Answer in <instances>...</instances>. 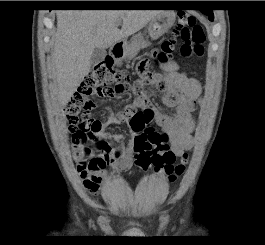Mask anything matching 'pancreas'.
Returning <instances> with one entry per match:
<instances>
[{
	"mask_svg": "<svg viewBox=\"0 0 265 245\" xmlns=\"http://www.w3.org/2000/svg\"><path fill=\"white\" fill-rule=\"evenodd\" d=\"M147 45H148V44H144L142 47H145V46H147ZM142 47H140V46L137 45V44L131 45V46L129 47V49H128L127 56H128L129 58H133V57L137 54V52L139 51V49L142 48Z\"/></svg>",
	"mask_w": 265,
	"mask_h": 245,
	"instance_id": "obj_1",
	"label": "pancreas"
}]
</instances>
